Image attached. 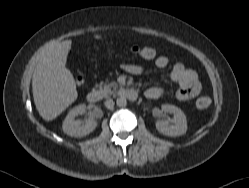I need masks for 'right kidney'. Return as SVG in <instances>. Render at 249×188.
Segmentation results:
<instances>
[{
	"instance_id": "right-kidney-1",
	"label": "right kidney",
	"mask_w": 249,
	"mask_h": 188,
	"mask_svg": "<svg viewBox=\"0 0 249 188\" xmlns=\"http://www.w3.org/2000/svg\"><path fill=\"white\" fill-rule=\"evenodd\" d=\"M85 112V104L78 105L71 109L63 122V132L72 137H83L93 132L97 126L94 118L89 117L85 119L84 122L75 119L76 116L84 114Z\"/></svg>"
}]
</instances>
